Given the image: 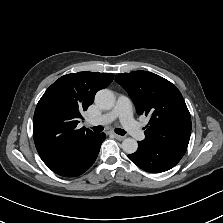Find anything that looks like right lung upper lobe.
<instances>
[{
	"label": "right lung upper lobe",
	"mask_w": 223,
	"mask_h": 223,
	"mask_svg": "<svg viewBox=\"0 0 223 223\" xmlns=\"http://www.w3.org/2000/svg\"><path fill=\"white\" fill-rule=\"evenodd\" d=\"M112 73L78 72L56 80L39 100L33 118V137L43 162L55 173L73 165L94 138L76 129L81 112L93 103L97 91L113 80Z\"/></svg>",
	"instance_id": "1"
}]
</instances>
